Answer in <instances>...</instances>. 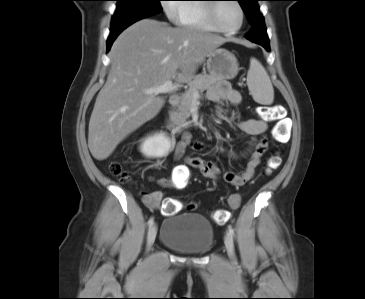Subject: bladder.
I'll return each mask as SVG.
<instances>
[{
  "label": "bladder",
  "mask_w": 365,
  "mask_h": 299,
  "mask_svg": "<svg viewBox=\"0 0 365 299\" xmlns=\"http://www.w3.org/2000/svg\"><path fill=\"white\" fill-rule=\"evenodd\" d=\"M159 239L175 252L202 255L212 249L215 235L212 224L205 216L182 213L164 220Z\"/></svg>",
  "instance_id": "1"
}]
</instances>
